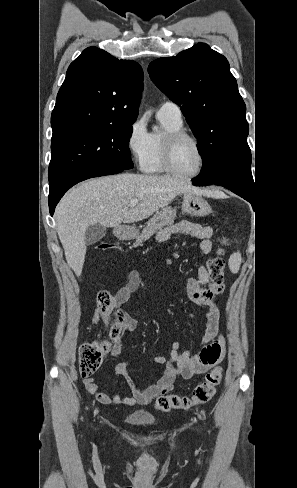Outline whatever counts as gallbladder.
<instances>
[{
    "instance_id": "gallbladder-1",
    "label": "gallbladder",
    "mask_w": 297,
    "mask_h": 488,
    "mask_svg": "<svg viewBox=\"0 0 297 488\" xmlns=\"http://www.w3.org/2000/svg\"><path fill=\"white\" fill-rule=\"evenodd\" d=\"M107 232V228L100 224L89 226L85 232V242L87 245L94 244L101 240Z\"/></svg>"
}]
</instances>
